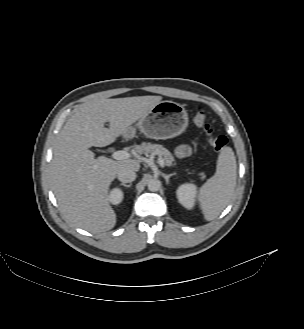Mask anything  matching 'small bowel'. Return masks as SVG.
Returning a JSON list of instances; mask_svg holds the SVG:
<instances>
[{
  "label": "small bowel",
  "instance_id": "small-bowel-1",
  "mask_svg": "<svg viewBox=\"0 0 304 329\" xmlns=\"http://www.w3.org/2000/svg\"><path fill=\"white\" fill-rule=\"evenodd\" d=\"M190 148L186 145H181L179 147H177L175 154L177 157L179 158H184L190 155Z\"/></svg>",
  "mask_w": 304,
  "mask_h": 329
}]
</instances>
